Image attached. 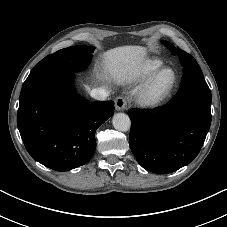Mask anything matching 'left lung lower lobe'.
<instances>
[{
	"label": "left lung lower lobe",
	"instance_id": "0a47b994",
	"mask_svg": "<svg viewBox=\"0 0 227 227\" xmlns=\"http://www.w3.org/2000/svg\"><path fill=\"white\" fill-rule=\"evenodd\" d=\"M210 106L204 101L171 100L153 110H129V144L138 163L167 174L192 162L210 128Z\"/></svg>",
	"mask_w": 227,
	"mask_h": 227
}]
</instances>
